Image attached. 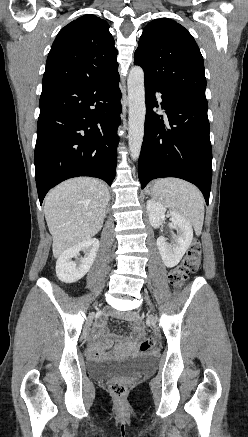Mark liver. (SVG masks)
Wrapping results in <instances>:
<instances>
[{
	"instance_id": "liver-1",
	"label": "liver",
	"mask_w": 248,
	"mask_h": 437,
	"mask_svg": "<svg viewBox=\"0 0 248 437\" xmlns=\"http://www.w3.org/2000/svg\"><path fill=\"white\" fill-rule=\"evenodd\" d=\"M109 200L108 187L90 177L67 180L47 194L44 213L55 258L100 231Z\"/></svg>"
}]
</instances>
